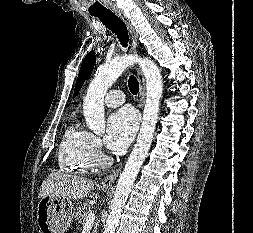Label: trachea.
Masks as SVG:
<instances>
[{"instance_id": "trachea-1", "label": "trachea", "mask_w": 253, "mask_h": 233, "mask_svg": "<svg viewBox=\"0 0 253 233\" xmlns=\"http://www.w3.org/2000/svg\"><path fill=\"white\" fill-rule=\"evenodd\" d=\"M93 16H96L100 19V21L109 28L113 33L116 34L118 37L120 43L126 47L129 36L128 31L125 23L117 17L113 12H102L93 14ZM128 87L132 94H137L139 91V83L137 79L134 76H130L128 80Z\"/></svg>"}]
</instances>
